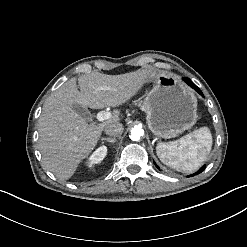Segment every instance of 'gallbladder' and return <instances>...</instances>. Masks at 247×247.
Here are the masks:
<instances>
[{
  "mask_svg": "<svg viewBox=\"0 0 247 247\" xmlns=\"http://www.w3.org/2000/svg\"><path fill=\"white\" fill-rule=\"evenodd\" d=\"M70 108L86 121H90L91 112L85 105L78 102H73Z\"/></svg>",
  "mask_w": 247,
  "mask_h": 247,
  "instance_id": "bac80fb5",
  "label": "gallbladder"
}]
</instances>
